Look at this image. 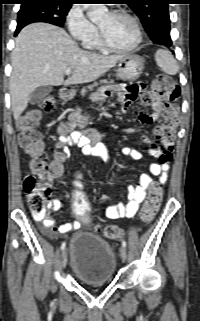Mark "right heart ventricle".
Masks as SVG:
<instances>
[{
	"instance_id": "e07e8e85",
	"label": "right heart ventricle",
	"mask_w": 200,
	"mask_h": 321,
	"mask_svg": "<svg viewBox=\"0 0 200 321\" xmlns=\"http://www.w3.org/2000/svg\"><path fill=\"white\" fill-rule=\"evenodd\" d=\"M82 43L83 46L89 50H98L101 48L98 41L97 31L88 38L82 40Z\"/></svg>"
}]
</instances>
